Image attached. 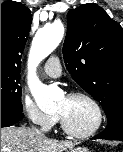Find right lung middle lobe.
Segmentation results:
<instances>
[{
	"instance_id": "dd1d6c3e",
	"label": "right lung middle lobe",
	"mask_w": 123,
	"mask_h": 152,
	"mask_svg": "<svg viewBox=\"0 0 123 152\" xmlns=\"http://www.w3.org/2000/svg\"><path fill=\"white\" fill-rule=\"evenodd\" d=\"M20 70L1 69V109L22 112Z\"/></svg>"
}]
</instances>
